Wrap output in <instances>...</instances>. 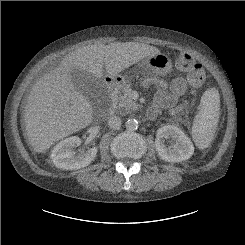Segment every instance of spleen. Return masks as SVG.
Returning a JSON list of instances; mask_svg holds the SVG:
<instances>
[{"instance_id":"obj_1","label":"spleen","mask_w":245,"mask_h":245,"mask_svg":"<svg viewBox=\"0 0 245 245\" xmlns=\"http://www.w3.org/2000/svg\"><path fill=\"white\" fill-rule=\"evenodd\" d=\"M220 116V95L210 88L201 97L200 110L192 126V137L196 146L205 149L213 140Z\"/></svg>"}]
</instances>
